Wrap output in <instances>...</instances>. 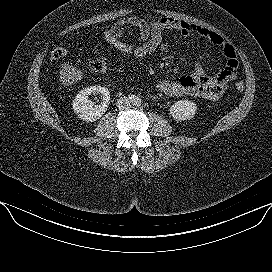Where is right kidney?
Returning <instances> with one entry per match:
<instances>
[{"instance_id":"right-kidney-1","label":"right kidney","mask_w":272,"mask_h":272,"mask_svg":"<svg viewBox=\"0 0 272 272\" xmlns=\"http://www.w3.org/2000/svg\"><path fill=\"white\" fill-rule=\"evenodd\" d=\"M98 93L102 97V102L95 105L88 99L89 95ZM110 103V92L107 88L101 86H91L83 89L72 102L74 112L78 118L93 122L98 120L107 110Z\"/></svg>"}]
</instances>
